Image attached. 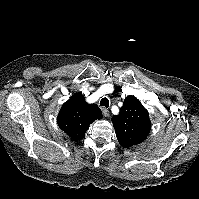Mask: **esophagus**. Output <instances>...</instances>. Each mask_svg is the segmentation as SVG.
<instances>
[{
  "label": "esophagus",
  "mask_w": 199,
  "mask_h": 199,
  "mask_svg": "<svg viewBox=\"0 0 199 199\" xmlns=\"http://www.w3.org/2000/svg\"><path fill=\"white\" fill-rule=\"evenodd\" d=\"M102 112H103V115L105 117H108L109 116V110L107 108H102Z\"/></svg>",
  "instance_id": "1"
}]
</instances>
